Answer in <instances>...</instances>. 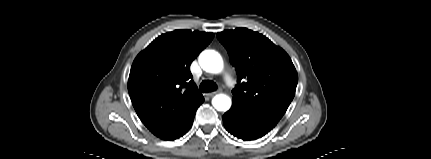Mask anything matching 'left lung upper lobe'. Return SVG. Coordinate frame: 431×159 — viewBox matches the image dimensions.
I'll return each mask as SVG.
<instances>
[{
  "mask_svg": "<svg viewBox=\"0 0 431 159\" xmlns=\"http://www.w3.org/2000/svg\"><path fill=\"white\" fill-rule=\"evenodd\" d=\"M236 68L232 105L248 115L278 123L295 95L296 69L288 54L246 28L217 33Z\"/></svg>",
  "mask_w": 431,
  "mask_h": 159,
  "instance_id": "5c2ea615",
  "label": "left lung upper lobe"
}]
</instances>
